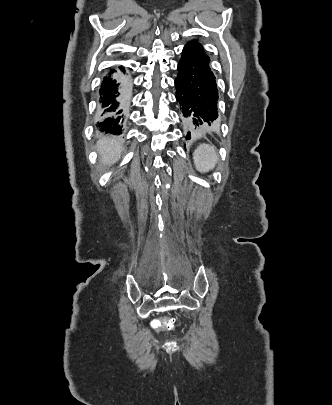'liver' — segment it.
Instances as JSON below:
<instances>
[{
	"label": "liver",
	"instance_id": "6515ba94",
	"mask_svg": "<svg viewBox=\"0 0 332 405\" xmlns=\"http://www.w3.org/2000/svg\"><path fill=\"white\" fill-rule=\"evenodd\" d=\"M123 141L104 137L97 143V150L100 154V162L103 165H112L117 162L121 156Z\"/></svg>",
	"mask_w": 332,
	"mask_h": 405
}]
</instances>
